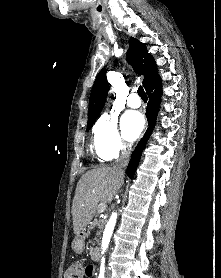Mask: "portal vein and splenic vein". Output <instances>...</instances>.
I'll list each match as a JSON object with an SVG mask.
<instances>
[{
	"mask_svg": "<svg viewBox=\"0 0 221 278\" xmlns=\"http://www.w3.org/2000/svg\"><path fill=\"white\" fill-rule=\"evenodd\" d=\"M106 206V203H100L98 212L103 213L105 211Z\"/></svg>",
	"mask_w": 221,
	"mask_h": 278,
	"instance_id": "portal-vein-and-splenic-vein-1",
	"label": "portal vein and splenic vein"
}]
</instances>
